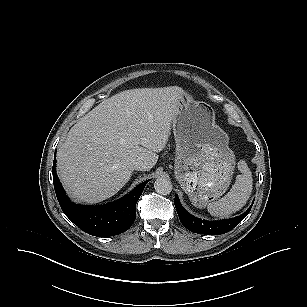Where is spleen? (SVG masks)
Segmentation results:
<instances>
[{
    "label": "spleen",
    "instance_id": "obj_1",
    "mask_svg": "<svg viewBox=\"0 0 307 307\" xmlns=\"http://www.w3.org/2000/svg\"><path fill=\"white\" fill-rule=\"evenodd\" d=\"M238 169L242 174L237 175L230 191L220 200L207 205L208 212L215 217H228L239 211L248 201L253 186L251 171L244 160L238 162Z\"/></svg>",
    "mask_w": 307,
    "mask_h": 307
}]
</instances>
